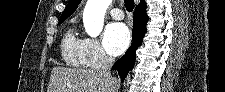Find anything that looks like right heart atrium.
<instances>
[{"label": "right heart atrium", "mask_w": 225, "mask_h": 92, "mask_svg": "<svg viewBox=\"0 0 225 92\" xmlns=\"http://www.w3.org/2000/svg\"><path fill=\"white\" fill-rule=\"evenodd\" d=\"M83 58L82 63L86 67H101L107 60V56L99 41L92 38L82 39Z\"/></svg>", "instance_id": "obj_1"}]
</instances>
